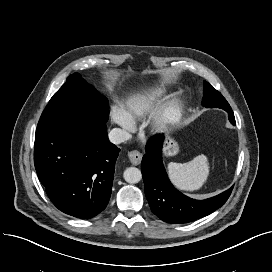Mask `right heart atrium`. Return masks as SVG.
<instances>
[{"mask_svg":"<svg viewBox=\"0 0 272 272\" xmlns=\"http://www.w3.org/2000/svg\"><path fill=\"white\" fill-rule=\"evenodd\" d=\"M112 119L115 123L121 125L125 130L129 131L132 129V124L126 120L121 110L118 108L112 109Z\"/></svg>","mask_w":272,"mask_h":272,"instance_id":"d8ad5b80","label":"right heart atrium"}]
</instances>
